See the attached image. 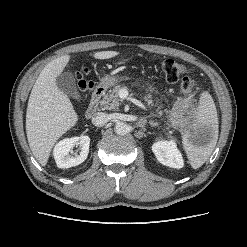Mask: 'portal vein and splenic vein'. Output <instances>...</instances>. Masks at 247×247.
<instances>
[{"mask_svg": "<svg viewBox=\"0 0 247 247\" xmlns=\"http://www.w3.org/2000/svg\"><path fill=\"white\" fill-rule=\"evenodd\" d=\"M119 96L122 99H126L128 97V91L126 89H121L120 92H119Z\"/></svg>", "mask_w": 247, "mask_h": 247, "instance_id": "1", "label": "portal vein and splenic vein"}]
</instances>
